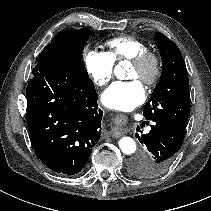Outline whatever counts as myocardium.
Instances as JSON below:
<instances>
[{"label":"myocardium","instance_id":"1","mask_svg":"<svg viewBox=\"0 0 211 211\" xmlns=\"http://www.w3.org/2000/svg\"><path fill=\"white\" fill-rule=\"evenodd\" d=\"M130 62L142 71L149 69L140 77L145 85L151 87L158 82L162 72V60L158 53L145 50L130 59Z\"/></svg>","mask_w":211,"mask_h":211}]
</instances>
